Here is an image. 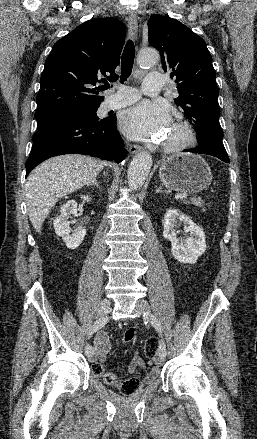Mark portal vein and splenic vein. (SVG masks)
Segmentation results:
<instances>
[{
	"label": "portal vein and splenic vein",
	"instance_id": "portal-vein-and-splenic-vein-1",
	"mask_svg": "<svg viewBox=\"0 0 257 439\" xmlns=\"http://www.w3.org/2000/svg\"><path fill=\"white\" fill-rule=\"evenodd\" d=\"M187 194L186 193H181V194H177L176 196H175V199H184V198H187Z\"/></svg>",
	"mask_w": 257,
	"mask_h": 439
}]
</instances>
